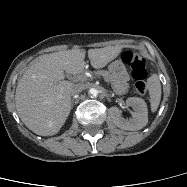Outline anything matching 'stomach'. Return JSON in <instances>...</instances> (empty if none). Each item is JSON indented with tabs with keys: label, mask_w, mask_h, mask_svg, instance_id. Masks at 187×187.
<instances>
[{
	"label": "stomach",
	"mask_w": 187,
	"mask_h": 187,
	"mask_svg": "<svg viewBox=\"0 0 187 187\" xmlns=\"http://www.w3.org/2000/svg\"><path fill=\"white\" fill-rule=\"evenodd\" d=\"M108 70L113 78L126 82L129 80V74L122 60L112 62Z\"/></svg>",
	"instance_id": "obj_1"
}]
</instances>
